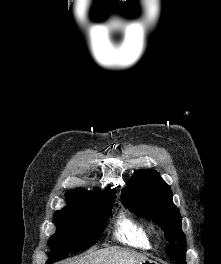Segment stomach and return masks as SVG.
I'll return each mask as SVG.
<instances>
[{
	"label": "stomach",
	"instance_id": "obj_1",
	"mask_svg": "<svg viewBox=\"0 0 221 264\" xmlns=\"http://www.w3.org/2000/svg\"><path fill=\"white\" fill-rule=\"evenodd\" d=\"M138 264H158V263L151 259H145V260L140 261Z\"/></svg>",
	"mask_w": 221,
	"mask_h": 264
}]
</instances>
